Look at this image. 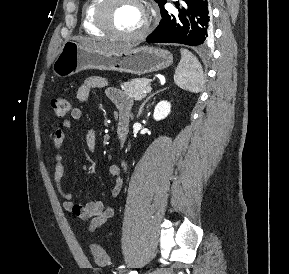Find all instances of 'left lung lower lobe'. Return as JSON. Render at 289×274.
<instances>
[{
    "instance_id": "left-lung-lower-lobe-1",
    "label": "left lung lower lobe",
    "mask_w": 289,
    "mask_h": 274,
    "mask_svg": "<svg viewBox=\"0 0 289 274\" xmlns=\"http://www.w3.org/2000/svg\"><path fill=\"white\" fill-rule=\"evenodd\" d=\"M166 1L159 6L162 17L159 26L146 41L204 46L212 37L208 0H183L186 4L179 9L178 15L164 9Z\"/></svg>"
}]
</instances>
